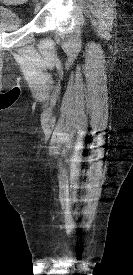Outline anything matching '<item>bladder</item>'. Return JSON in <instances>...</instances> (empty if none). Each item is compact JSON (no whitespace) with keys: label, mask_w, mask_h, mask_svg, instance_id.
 <instances>
[{"label":"bladder","mask_w":133,"mask_h":275,"mask_svg":"<svg viewBox=\"0 0 133 275\" xmlns=\"http://www.w3.org/2000/svg\"><path fill=\"white\" fill-rule=\"evenodd\" d=\"M24 21L19 12L0 6V31H13L23 27Z\"/></svg>","instance_id":"bladder-1"}]
</instances>
